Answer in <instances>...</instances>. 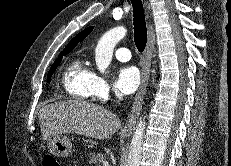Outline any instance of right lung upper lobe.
Returning a JSON list of instances; mask_svg holds the SVG:
<instances>
[{"label":"right lung upper lobe","instance_id":"obj_1","mask_svg":"<svg viewBox=\"0 0 231 166\" xmlns=\"http://www.w3.org/2000/svg\"><path fill=\"white\" fill-rule=\"evenodd\" d=\"M93 30V27H88L86 29H84L82 32H80L79 34H77L68 44L67 46L64 48V50L61 53H69L71 52L76 45L82 41L83 39H85ZM60 53V54H61Z\"/></svg>","mask_w":231,"mask_h":166}]
</instances>
